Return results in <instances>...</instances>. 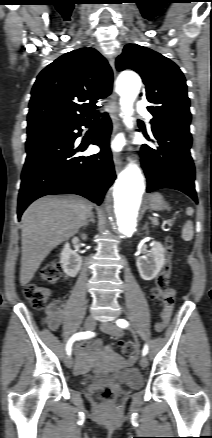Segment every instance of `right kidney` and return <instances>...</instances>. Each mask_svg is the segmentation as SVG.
<instances>
[{"instance_id":"1","label":"right kidney","mask_w":212,"mask_h":438,"mask_svg":"<svg viewBox=\"0 0 212 438\" xmlns=\"http://www.w3.org/2000/svg\"><path fill=\"white\" fill-rule=\"evenodd\" d=\"M82 238L86 239V235L83 234ZM60 263L66 275L75 277L82 266V258L76 251L70 248L67 242L60 254Z\"/></svg>"}]
</instances>
